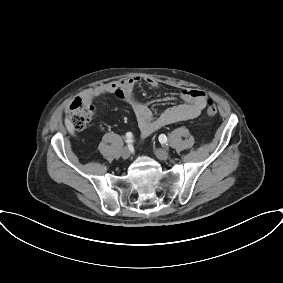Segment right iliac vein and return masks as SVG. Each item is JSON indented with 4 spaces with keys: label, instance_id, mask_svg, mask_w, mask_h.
<instances>
[{
    "label": "right iliac vein",
    "instance_id": "right-iliac-vein-1",
    "mask_svg": "<svg viewBox=\"0 0 283 283\" xmlns=\"http://www.w3.org/2000/svg\"><path fill=\"white\" fill-rule=\"evenodd\" d=\"M131 153L129 151L128 148H123L122 152H121V156L123 159H128L130 157Z\"/></svg>",
    "mask_w": 283,
    "mask_h": 283
}]
</instances>
